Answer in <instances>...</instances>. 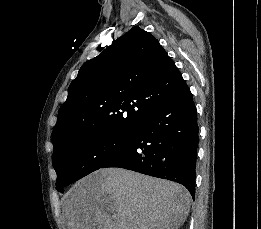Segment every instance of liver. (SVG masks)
<instances>
[{
	"mask_svg": "<svg viewBox=\"0 0 261 229\" xmlns=\"http://www.w3.org/2000/svg\"><path fill=\"white\" fill-rule=\"evenodd\" d=\"M66 229H179L188 217L185 187L126 169H99L64 195Z\"/></svg>",
	"mask_w": 261,
	"mask_h": 229,
	"instance_id": "1",
	"label": "liver"
}]
</instances>
